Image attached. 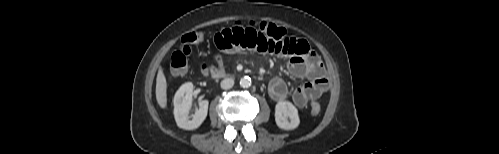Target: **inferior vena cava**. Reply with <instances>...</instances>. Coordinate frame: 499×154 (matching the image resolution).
Masks as SVG:
<instances>
[{
  "label": "inferior vena cava",
  "instance_id": "1",
  "mask_svg": "<svg viewBox=\"0 0 499 154\" xmlns=\"http://www.w3.org/2000/svg\"><path fill=\"white\" fill-rule=\"evenodd\" d=\"M233 85H234V80L231 78H226V79L222 80L220 83L221 88L225 89V90L232 88Z\"/></svg>",
  "mask_w": 499,
  "mask_h": 154
}]
</instances>
